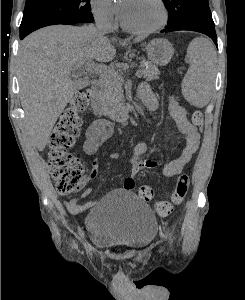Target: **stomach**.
Masks as SVG:
<instances>
[{
  "label": "stomach",
  "mask_w": 245,
  "mask_h": 300,
  "mask_svg": "<svg viewBox=\"0 0 245 300\" xmlns=\"http://www.w3.org/2000/svg\"><path fill=\"white\" fill-rule=\"evenodd\" d=\"M146 51L150 61L159 66L167 65L174 54L172 44L162 38L151 40L146 46Z\"/></svg>",
  "instance_id": "obj_1"
}]
</instances>
